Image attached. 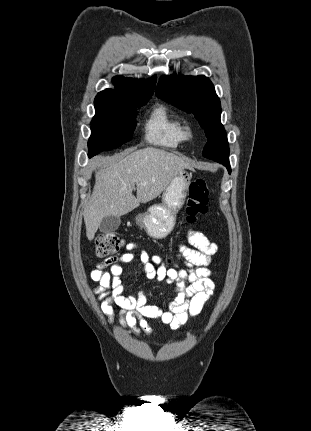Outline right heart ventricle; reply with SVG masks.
Listing matches in <instances>:
<instances>
[{
    "mask_svg": "<svg viewBox=\"0 0 311 431\" xmlns=\"http://www.w3.org/2000/svg\"><path fill=\"white\" fill-rule=\"evenodd\" d=\"M184 125V120L170 106L157 105L145 122L144 140L151 146L175 150L187 141Z\"/></svg>",
    "mask_w": 311,
    "mask_h": 431,
    "instance_id": "1",
    "label": "right heart ventricle"
}]
</instances>
